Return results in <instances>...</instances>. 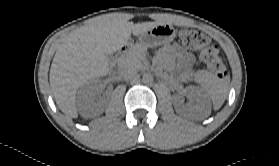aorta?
<instances>
[{"instance_id": "aorta-1", "label": "aorta", "mask_w": 279, "mask_h": 166, "mask_svg": "<svg viewBox=\"0 0 279 166\" xmlns=\"http://www.w3.org/2000/svg\"><path fill=\"white\" fill-rule=\"evenodd\" d=\"M154 78L151 73H144L142 76V81L145 84H151L153 82Z\"/></svg>"}]
</instances>
